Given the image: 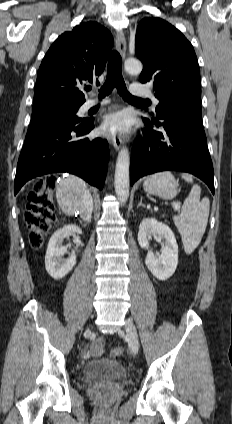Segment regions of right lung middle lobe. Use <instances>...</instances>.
<instances>
[{
  "instance_id": "1",
  "label": "right lung middle lobe",
  "mask_w": 232,
  "mask_h": 424,
  "mask_svg": "<svg viewBox=\"0 0 232 424\" xmlns=\"http://www.w3.org/2000/svg\"><path fill=\"white\" fill-rule=\"evenodd\" d=\"M79 107L80 106L51 104L33 108L31 123H45L56 119L75 123L82 122L84 119H80L76 116Z\"/></svg>"
}]
</instances>
